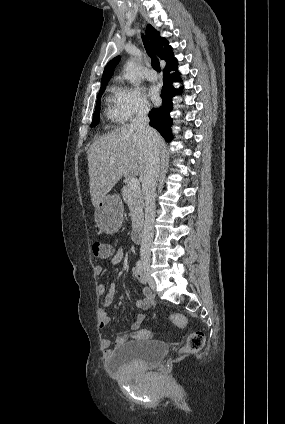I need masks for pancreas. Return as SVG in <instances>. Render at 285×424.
<instances>
[{
  "instance_id": "1",
  "label": "pancreas",
  "mask_w": 285,
  "mask_h": 424,
  "mask_svg": "<svg viewBox=\"0 0 285 424\" xmlns=\"http://www.w3.org/2000/svg\"><path fill=\"white\" fill-rule=\"evenodd\" d=\"M122 197L130 209L132 227L135 228L143 218L144 203L142 191L140 189L132 190L126 185L122 189Z\"/></svg>"
}]
</instances>
